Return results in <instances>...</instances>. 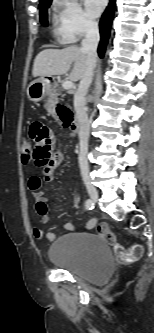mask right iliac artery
I'll return each mask as SVG.
<instances>
[{
	"label": "right iliac artery",
	"instance_id": "right-iliac-artery-1",
	"mask_svg": "<svg viewBox=\"0 0 154 333\" xmlns=\"http://www.w3.org/2000/svg\"><path fill=\"white\" fill-rule=\"evenodd\" d=\"M85 208L87 210H91V209L94 208V203L92 202V200H90V199L86 200V202H85Z\"/></svg>",
	"mask_w": 154,
	"mask_h": 333
}]
</instances>
